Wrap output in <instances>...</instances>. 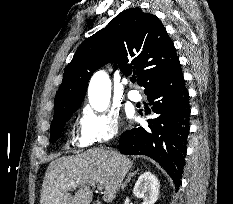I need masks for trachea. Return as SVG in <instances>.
<instances>
[{"label":"trachea","mask_w":233,"mask_h":204,"mask_svg":"<svg viewBox=\"0 0 233 204\" xmlns=\"http://www.w3.org/2000/svg\"><path fill=\"white\" fill-rule=\"evenodd\" d=\"M135 81H136L135 78H132V79H131V82H132V83H135Z\"/></svg>","instance_id":"3493384b"}]
</instances>
